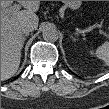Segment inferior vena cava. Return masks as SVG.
Segmentation results:
<instances>
[{
  "label": "inferior vena cava",
  "mask_w": 109,
  "mask_h": 109,
  "mask_svg": "<svg viewBox=\"0 0 109 109\" xmlns=\"http://www.w3.org/2000/svg\"><path fill=\"white\" fill-rule=\"evenodd\" d=\"M20 29L23 34L28 35L32 32L35 28L30 22H23L20 26Z\"/></svg>",
  "instance_id": "inferior-vena-cava-1"
}]
</instances>
